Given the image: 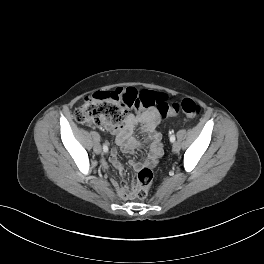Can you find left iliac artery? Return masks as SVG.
I'll return each mask as SVG.
<instances>
[{
	"instance_id": "44dca946",
	"label": "left iliac artery",
	"mask_w": 264,
	"mask_h": 264,
	"mask_svg": "<svg viewBox=\"0 0 264 264\" xmlns=\"http://www.w3.org/2000/svg\"><path fill=\"white\" fill-rule=\"evenodd\" d=\"M170 141H171V142H174V141H175V135H171V136H170Z\"/></svg>"
}]
</instances>
